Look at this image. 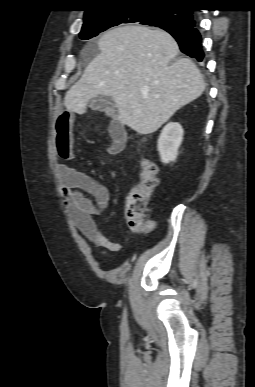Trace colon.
Listing matches in <instances>:
<instances>
[{"instance_id":"5ec220e1","label":"colon","mask_w":255,"mask_h":387,"mask_svg":"<svg viewBox=\"0 0 255 387\" xmlns=\"http://www.w3.org/2000/svg\"><path fill=\"white\" fill-rule=\"evenodd\" d=\"M157 185L156 165L144 156H140V180L130 189L125 202L128 224L135 233L145 234L154 228V222L146 218V208Z\"/></svg>"}]
</instances>
